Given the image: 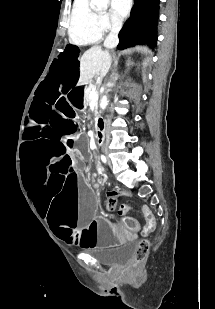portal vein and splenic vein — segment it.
<instances>
[{"label": "portal vein and splenic vein", "mask_w": 215, "mask_h": 309, "mask_svg": "<svg viewBox=\"0 0 215 309\" xmlns=\"http://www.w3.org/2000/svg\"><path fill=\"white\" fill-rule=\"evenodd\" d=\"M90 96H98V94H97L95 88H93V90H91Z\"/></svg>", "instance_id": "18ae733b"}]
</instances>
